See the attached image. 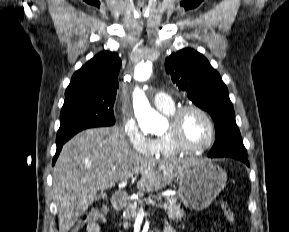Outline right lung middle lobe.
<instances>
[{
	"label": "right lung middle lobe",
	"mask_w": 289,
	"mask_h": 232,
	"mask_svg": "<svg viewBox=\"0 0 289 232\" xmlns=\"http://www.w3.org/2000/svg\"><path fill=\"white\" fill-rule=\"evenodd\" d=\"M115 97H77L64 102L60 114V128L56 144L61 145L76 133L93 127L112 126L115 123Z\"/></svg>",
	"instance_id": "obj_1"
}]
</instances>
